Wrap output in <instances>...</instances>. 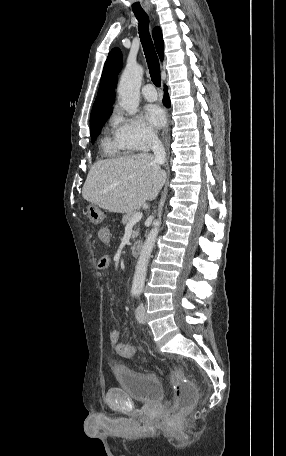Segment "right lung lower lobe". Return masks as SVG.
<instances>
[{
	"mask_svg": "<svg viewBox=\"0 0 286 456\" xmlns=\"http://www.w3.org/2000/svg\"><path fill=\"white\" fill-rule=\"evenodd\" d=\"M164 92H165V93H164L163 102H164V104H165L167 107H169V106H170V99H169V95H168V93H167V86H165Z\"/></svg>",
	"mask_w": 286,
	"mask_h": 456,
	"instance_id": "right-lung-lower-lobe-1",
	"label": "right lung lower lobe"
}]
</instances>
